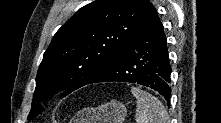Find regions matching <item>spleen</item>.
<instances>
[{"label": "spleen", "mask_w": 221, "mask_h": 123, "mask_svg": "<svg viewBox=\"0 0 221 123\" xmlns=\"http://www.w3.org/2000/svg\"><path fill=\"white\" fill-rule=\"evenodd\" d=\"M131 93L137 100L135 115L137 123H168V113L156 97L137 87H132Z\"/></svg>", "instance_id": "3e777b00"}]
</instances>
